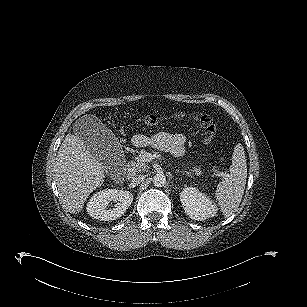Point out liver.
I'll use <instances>...</instances> for the list:
<instances>
[{"label":"liver","mask_w":307,"mask_h":307,"mask_svg":"<svg viewBox=\"0 0 307 307\" xmlns=\"http://www.w3.org/2000/svg\"><path fill=\"white\" fill-rule=\"evenodd\" d=\"M91 153L79 134L69 132L53 163V180L66 211L71 214L83 210L88 196L103 185L105 172L113 169L117 158L114 157L107 166Z\"/></svg>","instance_id":"1"}]
</instances>
